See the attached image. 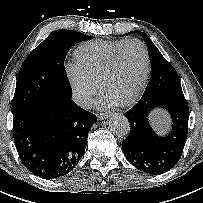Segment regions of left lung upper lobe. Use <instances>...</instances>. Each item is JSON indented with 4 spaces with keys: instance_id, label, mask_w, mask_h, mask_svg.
I'll use <instances>...</instances> for the list:
<instances>
[{
    "instance_id": "5c2ea615",
    "label": "left lung upper lobe",
    "mask_w": 203,
    "mask_h": 203,
    "mask_svg": "<svg viewBox=\"0 0 203 203\" xmlns=\"http://www.w3.org/2000/svg\"><path fill=\"white\" fill-rule=\"evenodd\" d=\"M133 33L139 34L144 39L152 64L150 81L139 101L184 98L178 74L173 66L162 56L146 34L140 31H131L126 35Z\"/></svg>"
}]
</instances>
